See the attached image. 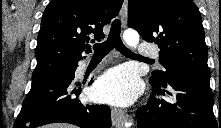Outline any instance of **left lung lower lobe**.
Segmentation results:
<instances>
[{"mask_svg": "<svg viewBox=\"0 0 221 128\" xmlns=\"http://www.w3.org/2000/svg\"><path fill=\"white\" fill-rule=\"evenodd\" d=\"M153 95L137 110V128H221L213 113L210 76L188 71L172 74L165 85L150 81Z\"/></svg>", "mask_w": 221, "mask_h": 128, "instance_id": "obj_1", "label": "left lung lower lobe"}]
</instances>
